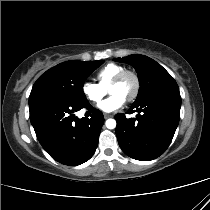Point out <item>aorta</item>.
<instances>
[{"label": "aorta", "instance_id": "762f6f07", "mask_svg": "<svg viewBox=\"0 0 210 210\" xmlns=\"http://www.w3.org/2000/svg\"><path fill=\"white\" fill-rule=\"evenodd\" d=\"M105 124L108 129H114L116 127V121L114 119H108Z\"/></svg>", "mask_w": 210, "mask_h": 210}]
</instances>
